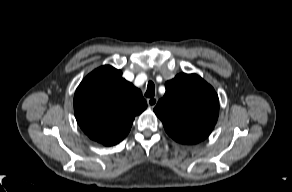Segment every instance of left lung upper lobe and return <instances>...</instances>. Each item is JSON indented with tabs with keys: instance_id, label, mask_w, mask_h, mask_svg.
<instances>
[{
	"instance_id": "5c2ea615",
	"label": "left lung upper lobe",
	"mask_w": 292,
	"mask_h": 192,
	"mask_svg": "<svg viewBox=\"0 0 292 192\" xmlns=\"http://www.w3.org/2000/svg\"><path fill=\"white\" fill-rule=\"evenodd\" d=\"M166 93L154 108L168 135L182 144L209 136L219 113L215 90L196 74H178L165 84Z\"/></svg>"
}]
</instances>
